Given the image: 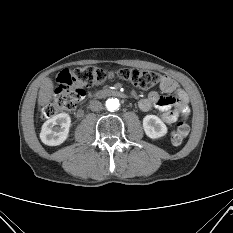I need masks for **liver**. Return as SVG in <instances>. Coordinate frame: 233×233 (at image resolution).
Segmentation results:
<instances>
[{
    "label": "liver",
    "mask_w": 233,
    "mask_h": 233,
    "mask_svg": "<svg viewBox=\"0 0 233 233\" xmlns=\"http://www.w3.org/2000/svg\"><path fill=\"white\" fill-rule=\"evenodd\" d=\"M54 93V85L50 78H45L42 81L38 94V105L45 106L52 99Z\"/></svg>",
    "instance_id": "liver-1"
}]
</instances>
